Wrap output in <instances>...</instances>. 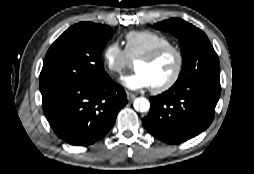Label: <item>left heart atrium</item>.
<instances>
[{
  "instance_id": "39dd6f15",
  "label": "left heart atrium",
  "mask_w": 254,
  "mask_h": 174,
  "mask_svg": "<svg viewBox=\"0 0 254 174\" xmlns=\"http://www.w3.org/2000/svg\"><path fill=\"white\" fill-rule=\"evenodd\" d=\"M121 82L124 86L131 90H140L153 87L148 75L141 70H136L134 73L122 77Z\"/></svg>"
}]
</instances>
